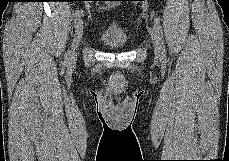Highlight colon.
Listing matches in <instances>:
<instances>
[{
    "label": "colon",
    "mask_w": 229,
    "mask_h": 161,
    "mask_svg": "<svg viewBox=\"0 0 229 161\" xmlns=\"http://www.w3.org/2000/svg\"><path fill=\"white\" fill-rule=\"evenodd\" d=\"M129 1H134L135 2V1H142V0H129Z\"/></svg>",
    "instance_id": "1"
}]
</instances>
